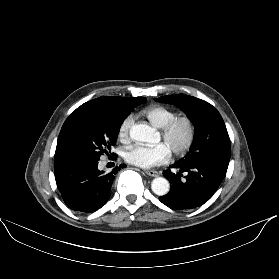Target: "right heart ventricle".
<instances>
[{"instance_id": "e07e8e85", "label": "right heart ventricle", "mask_w": 279, "mask_h": 279, "mask_svg": "<svg viewBox=\"0 0 279 279\" xmlns=\"http://www.w3.org/2000/svg\"><path fill=\"white\" fill-rule=\"evenodd\" d=\"M141 113L153 126L159 129L178 115L175 110L160 105L145 108Z\"/></svg>"}]
</instances>
